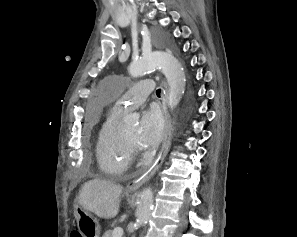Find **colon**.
Here are the masks:
<instances>
[{"instance_id": "colon-1", "label": "colon", "mask_w": 297, "mask_h": 237, "mask_svg": "<svg viewBox=\"0 0 297 237\" xmlns=\"http://www.w3.org/2000/svg\"><path fill=\"white\" fill-rule=\"evenodd\" d=\"M71 237H82V236L80 233L74 231V232H72Z\"/></svg>"}]
</instances>
